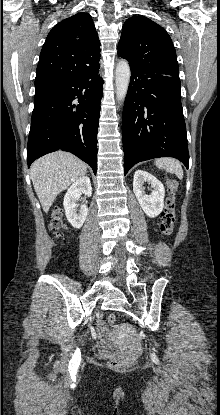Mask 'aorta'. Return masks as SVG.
<instances>
[{
	"instance_id": "aorta-1",
	"label": "aorta",
	"mask_w": 220,
	"mask_h": 415,
	"mask_svg": "<svg viewBox=\"0 0 220 415\" xmlns=\"http://www.w3.org/2000/svg\"><path fill=\"white\" fill-rule=\"evenodd\" d=\"M130 67L126 60H120L115 69L116 98L119 103L125 100L130 82Z\"/></svg>"
}]
</instances>
